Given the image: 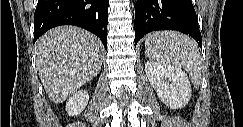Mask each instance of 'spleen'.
I'll use <instances>...</instances> for the list:
<instances>
[{"label": "spleen", "mask_w": 243, "mask_h": 127, "mask_svg": "<svg viewBox=\"0 0 243 127\" xmlns=\"http://www.w3.org/2000/svg\"><path fill=\"white\" fill-rule=\"evenodd\" d=\"M146 56L164 65L183 68L195 86L201 82L202 59L196 42L184 34L172 31L156 32L145 41Z\"/></svg>", "instance_id": "1"}]
</instances>
